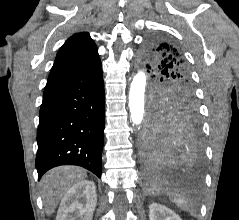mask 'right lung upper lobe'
Masks as SVG:
<instances>
[{"label": "right lung upper lobe", "mask_w": 239, "mask_h": 220, "mask_svg": "<svg viewBox=\"0 0 239 220\" xmlns=\"http://www.w3.org/2000/svg\"><path fill=\"white\" fill-rule=\"evenodd\" d=\"M100 60L97 47L85 32L71 36L60 48L48 81L67 76Z\"/></svg>", "instance_id": "cb5924a9"}]
</instances>
